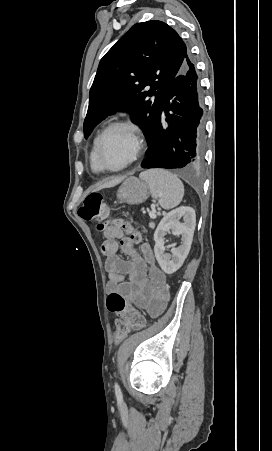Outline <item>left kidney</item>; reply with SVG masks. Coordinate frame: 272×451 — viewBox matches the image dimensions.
Wrapping results in <instances>:
<instances>
[{"label": "left kidney", "instance_id": "1", "mask_svg": "<svg viewBox=\"0 0 272 451\" xmlns=\"http://www.w3.org/2000/svg\"><path fill=\"white\" fill-rule=\"evenodd\" d=\"M181 218H183L184 224H180L179 220ZM195 226V210L188 208V206H181V208L172 210L159 222L154 233V253L161 269L165 273H174L181 267L190 251ZM170 229L173 235H182V241L179 247H172L171 253H165L164 235Z\"/></svg>", "mask_w": 272, "mask_h": 451}]
</instances>
